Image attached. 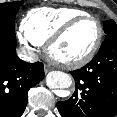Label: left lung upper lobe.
Listing matches in <instances>:
<instances>
[{"mask_svg": "<svg viewBox=\"0 0 117 117\" xmlns=\"http://www.w3.org/2000/svg\"><path fill=\"white\" fill-rule=\"evenodd\" d=\"M103 27L106 37L117 31V24L113 20L105 21Z\"/></svg>", "mask_w": 117, "mask_h": 117, "instance_id": "1", "label": "left lung upper lobe"}]
</instances>
